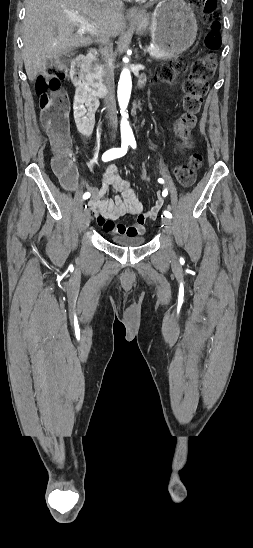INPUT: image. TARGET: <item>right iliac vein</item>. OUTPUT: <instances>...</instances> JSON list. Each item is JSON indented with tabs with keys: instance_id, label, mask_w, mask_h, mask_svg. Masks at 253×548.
Here are the masks:
<instances>
[{
	"instance_id": "63e3f726",
	"label": "right iliac vein",
	"mask_w": 253,
	"mask_h": 548,
	"mask_svg": "<svg viewBox=\"0 0 253 548\" xmlns=\"http://www.w3.org/2000/svg\"><path fill=\"white\" fill-rule=\"evenodd\" d=\"M90 220H91L90 212H89V210L85 209L82 213V221H83V224H84L85 227H87L89 225Z\"/></svg>"
}]
</instances>
